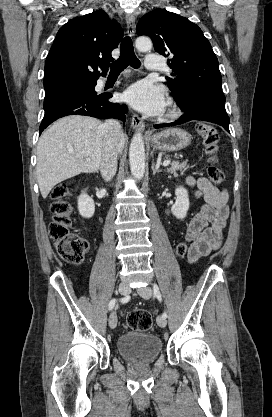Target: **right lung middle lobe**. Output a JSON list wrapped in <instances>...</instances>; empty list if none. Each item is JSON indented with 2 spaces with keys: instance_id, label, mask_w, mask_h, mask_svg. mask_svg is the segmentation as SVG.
<instances>
[{
  "instance_id": "1",
  "label": "right lung middle lobe",
  "mask_w": 272,
  "mask_h": 417,
  "mask_svg": "<svg viewBox=\"0 0 272 417\" xmlns=\"http://www.w3.org/2000/svg\"><path fill=\"white\" fill-rule=\"evenodd\" d=\"M87 88H88V84H71V85H63V86H59V87L51 88V89H45L44 103L59 94L72 92V91H84V90H87Z\"/></svg>"
}]
</instances>
